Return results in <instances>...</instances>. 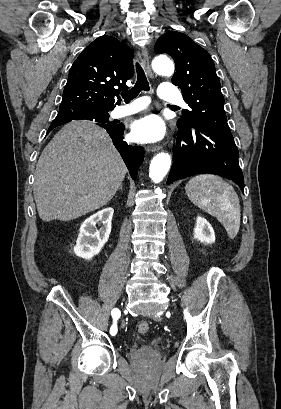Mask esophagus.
<instances>
[{
	"mask_svg": "<svg viewBox=\"0 0 281 409\" xmlns=\"http://www.w3.org/2000/svg\"><path fill=\"white\" fill-rule=\"evenodd\" d=\"M137 55L139 57V60L141 62V64L144 66L147 74L149 77H153V72L152 69L150 67V60H149V56H148V52L145 48H139L137 51ZM160 147L159 146H154V147H146L147 152H155L156 150H159Z\"/></svg>",
	"mask_w": 281,
	"mask_h": 409,
	"instance_id": "esophagus-1",
	"label": "esophagus"
}]
</instances>
